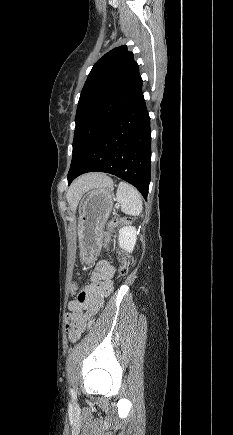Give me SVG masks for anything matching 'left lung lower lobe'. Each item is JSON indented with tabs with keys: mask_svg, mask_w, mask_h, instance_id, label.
<instances>
[{
	"mask_svg": "<svg viewBox=\"0 0 233 435\" xmlns=\"http://www.w3.org/2000/svg\"><path fill=\"white\" fill-rule=\"evenodd\" d=\"M150 118L142 95L113 121L68 172V183L83 173L113 174L147 199L151 164Z\"/></svg>",
	"mask_w": 233,
	"mask_h": 435,
	"instance_id": "0a47b994",
	"label": "left lung lower lobe"
}]
</instances>
